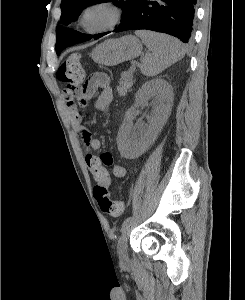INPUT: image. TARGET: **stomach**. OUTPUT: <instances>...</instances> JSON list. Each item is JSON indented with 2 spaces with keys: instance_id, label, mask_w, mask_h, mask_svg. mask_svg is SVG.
<instances>
[{
  "instance_id": "stomach-1",
  "label": "stomach",
  "mask_w": 245,
  "mask_h": 300,
  "mask_svg": "<svg viewBox=\"0 0 245 300\" xmlns=\"http://www.w3.org/2000/svg\"><path fill=\"white\" fill-rule=\"evenodd\" d=\"M141 52L140 40L133 35H126L104 41L92 51L91 58L98 64L115 66L138 57Z\"/></svg>"
}]
</instances>
